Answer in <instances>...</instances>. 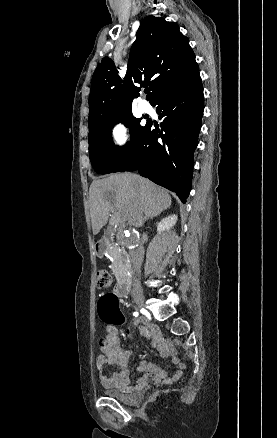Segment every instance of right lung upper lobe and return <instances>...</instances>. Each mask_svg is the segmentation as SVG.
Here are the masks:
<instances>
[{
    "label": "right lung upper lobe",
    "instance_id": "1",
    "mask_svg": "<svg viewBox=\"0 0 277 438\" xmlns=\"http://www.w3.org/2000/svg\"><path fill=\"white\" fill-rule=\"evenodd\" d=\"M167 63L175 64L172 70L165 67ZM198 70L189 39L179 31V26L164 18L149 16L137 31L124 80L109 57L103 58L96 68L89 95L88 125L132 114V101L140 91L138 84L149 86L152 102L163 88Z\"/></svg>",
    "mask_w": 277,
    "mask_h": 438
}]
</instances>
